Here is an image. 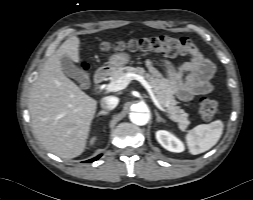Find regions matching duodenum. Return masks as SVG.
I'll return each mask as SVG.
<instances>
[{"instance_id":"1","label":"duodenum","mask_w":253,"mask_h":200,"mask_svg":"<svg viewBox=\"0 0 253 200\" xmlns=\"http://www.w3.org/2000/svg\"><path fill=\"white\" fill-rule=\"evenodd\" d=\"M110 70L107 67H102L98 69L93 77V81L96 85L101 84L109 75Z\"/></svg>"}]
</instances>
